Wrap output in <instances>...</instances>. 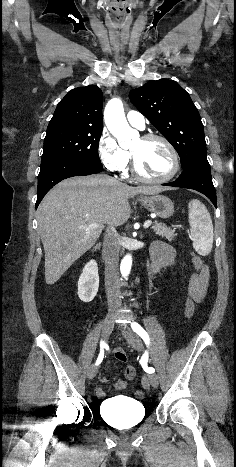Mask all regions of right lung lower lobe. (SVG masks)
I'll use <instances>...</instances> for the list:
<instances>
[{
  "label": "right lung lower lobe",
  "instance_id": "1",
  "mask_svg": "<svg viewBox=\"0 0 236 467\" xmlns=\"http://www.w3.org/2000/svg\"><path fill=\"white\" fill-rule=\"evenodd\" d=\"M102 167L73 158H58L41 164L38 175L36 209L45 194L63 179L99 173Z\"/></svg>",
  "mask_w": 236,
  "mask_h": 467
}]
</instances>
